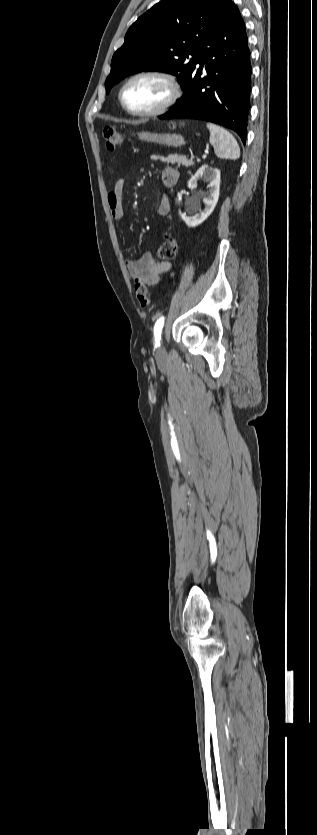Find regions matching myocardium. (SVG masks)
Listing matches in <instances>:
<instances>
[{
    "label": "myocardium",
    "instance_id": "f54148a6",
    "mask_svg": "<svg viewBox=\"0 0 317 835\" xmlns=\"http://www.w3.org/2000/svg\"><path fill=\"white\" fill-rule=\"evenodd\" d=\"M144 77H152L161 80L168 88V96L167 98L155 109L148 110V111H135L130 109L123 98V93L126 87L136 79L144 78ZM182 95V90L179 82L177 79L164 71L160 70H144L137 72L127 78L124 83L121 85L118 93V99L123 107V109L129 113L130 115L137 116V117H156L166 113L170 110L180 99Z\"/></svg>",
    "mask_w": 317,
    "mask_h": 835
}]
</instances>
